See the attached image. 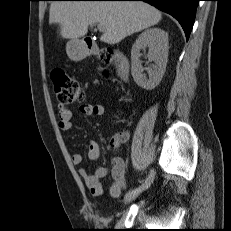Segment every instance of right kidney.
Returning a JSON list of instances; mask_svg holds the SVG:
<instances>
[{"label":"right kidney","mask_w":231,"mask_h":231,"mask_svg":"<svg viewBox=\"0 0 231 231\" xmlns=\"http://www.w3.org/2000/svg\"><path fill=\"white\" fill-rule=\"evenodd\" d=\"M149 48L148 59L155 64L152 67L143 68L141 50ZM168 59V34L159 29L151 28L141 33L131 50V73L138 86L146 90L154 89L161 81ZM148 72L149 78L143 74Z\"/></svg>","instance_id":"right-kidney-1"}]
</instances>
